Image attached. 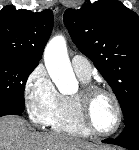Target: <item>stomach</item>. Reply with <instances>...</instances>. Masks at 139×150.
Listing matches in <instances>:
<instances>
[{
  "instance_id": "stomach-1",
  "label": "stomach",
  "mask_w": 139,
  "mask_h": 150,
  "mask_svg": "<svg viewBox=\"0 0 139 150\" xmlns=\"http://www.w3.org/2000/svg\"><path fill=\"white\" fill-rule=\"evenodd\" d=\"M97 150H112V149H108V148H99V149H97Z\"/></svg>"
}]
</instances>
